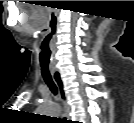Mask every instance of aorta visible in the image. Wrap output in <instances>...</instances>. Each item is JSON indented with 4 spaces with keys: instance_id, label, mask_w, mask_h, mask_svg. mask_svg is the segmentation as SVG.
<instances>
[{
    "instance_id": "obj_1",
    "label": "aorta",
    "mask_w": 134,
    "mask_h": 123,
    "mask_svg": "<svg viewBox=\"0 0 134 123\" xmlns=\"http://www.w3.org/2000/svg\"><path fill=\"white\" fill-rule=\"evenodd\" d=\"M40 112L46 114L47 116L51 115V117L59 115V109L57 105L52 102L43 103L40 106Z\"/></svg>"
}]
</instances>
